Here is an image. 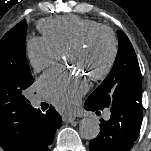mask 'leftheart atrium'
<instances>
[{
	"mask_svg": "<svg viewBox=\"0 0 151 151\" xmlns=\"http://www.w3.org/2000/svg\"><path fill=\"white\" fill-rule=\"evenodd\" d=\"M43 94L59 109H71L88 90L87 79L60 68L45 73L39 80Z\"/></svg>",
	"mask_w": 151,
	"mask_h": 151,
	"instance_id": "obj_1",
	"label": "left heart atrium"
}]
</instances>
